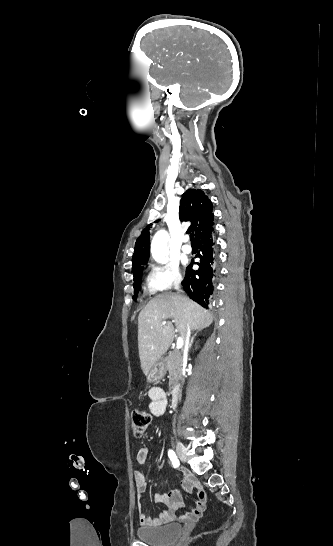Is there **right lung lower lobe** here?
I'll use <instances>...</instances> for the list:
<instances>
[{
	"label": "right lung lower lobe",
	"instance_id": "1",
	"mask_svg": "<svg viewBox=\"0 0 333 546\" xmlns=\"http://www.w3.org/2000/svg\"><path fill=\"white\" fill-rule=\"evenodd\" d=\"M195 241L200 250L196 255V257L200 258V261L195 263L199 266V269H192L194 263V260H192L191 264L186 268L182 285L191 299L208 309L212 306V296L217 274V257L213 241V228L210 227L207 229Z\"/></svg>",
	"mask_w": 333,
	"mask_h": 546
}]
</instances>
